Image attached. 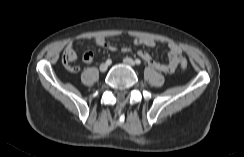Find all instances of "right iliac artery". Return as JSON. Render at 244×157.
<instances>
[{
	"mask_svg": "<svg viewBox=\"0 0 244 157\" xmlns=\"http://www.w3.org/2000/svg\"><path fill=\"white\" fill-rule=\"evenodd\" d=\"M111 59H107V61H106V63L108 64V65H110L111 64Z\"/></svg>",
	"mask_w": 244,
	"mask_h": 157,
	"instance_id": "obj_1",
	"label": "right iliac artery"
}]
</instances>
